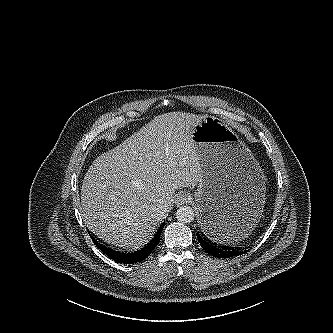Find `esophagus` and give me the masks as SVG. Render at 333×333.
<instances>
[{
	"instance_id": "obj_1",
	"label": "esophagus",
	"mask_w": 333,
	"mask_h": 333,
	"mask_svg": "<svg viewBox=\"0 0 333 333\" xmlns=\"http://www.w3.org/2000/svg\"><path fill=\"white\" fill-rule=\"evenodd\" d=\"M190 199H191V197L188 194L181 193L177 196V198L175 200V204L177 206H181V205L188 203L190 201Z\"/></svg>"
}]
</instances>
